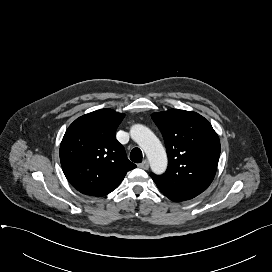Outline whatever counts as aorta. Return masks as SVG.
<instances>
[{"label": "aorta", "mask_w": 272, "mask_h": 272, "mask_svg": "<svg viewBox=\"0 0 272 272\" xmlns=\"http://www.w3.org/2000/svg\"><path fill=\"white\" fill-rule=\"evenodd\" d=\"M131 138L145 152L151 169L156 174H162L167 168V155L160 140L146 126L135 124L130 130Z\"/></svg>", "instance_id": "1"}]
</instances>
